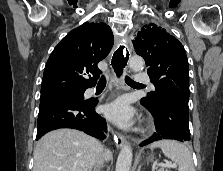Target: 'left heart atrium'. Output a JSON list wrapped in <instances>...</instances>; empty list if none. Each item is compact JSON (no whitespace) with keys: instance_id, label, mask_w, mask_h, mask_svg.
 <instances>
[{"instance_id":"1","label":"left heart atrium","mask_w":223,"mask_h":171,"mask_svg":"<svg viewBox=\"0 0 223 171\" xmlns=\"http://www.w3.org/2000/svg\"><path fill=\"white\" fill-rule=\"evenodd\" d=\"M105 116L121 127H129L134 122L135 111L124 98H118L104 106Z\"/></svg>"}]
</instances>
